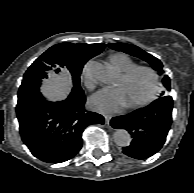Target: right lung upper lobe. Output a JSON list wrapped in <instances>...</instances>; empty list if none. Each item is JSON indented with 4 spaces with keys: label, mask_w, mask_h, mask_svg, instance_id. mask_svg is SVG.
Masks as SVG:
<instances>
[{
    "label": "right lung upper lobe",
    "mask_w": 194,
    "mask_h": 193,
    "mask_svg": "<svg viewBox=\"0 0 194 193\" xmlns=\"http://www.w3.org/2000/svg\"><path fill=\"white\" fill-rule=\"evenodd\" d=\"M105 44L60 43L49 48L29 67L42 76L48 72L58 74L69 67L82 66L92 57L100 54Z\"/></svg>",
    "instance_id": "obj_1"
}]
</instances>
